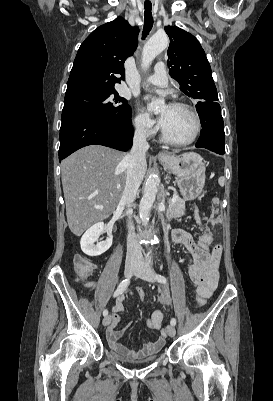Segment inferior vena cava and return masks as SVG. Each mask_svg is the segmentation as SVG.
Segmentation results:
<instances>
[{"label": "inferior vena cava", "mask_w": 273, "mask_h": 401, "mask_svg": "<svg viewBox=\"0 0 273 401\" xmlns=\"http://www.w3.org/2000/svg\"><path fill=\"white\" fill-rule=\"evenodd\" d=\"M148 148L149 144L146 140L144 128H136L133 146L129 154L125 156V162L127 164L126 186L120 201V205H123V207H131V203L135 201L137 190L144 178L146 170V152ZM126 215L129 219L126 259H128V261L142 259L141 245H139L136 239L135 227L130 217V215H132V209H127Z\"/></svg>", "instance_id": "1"}]
</instances>
